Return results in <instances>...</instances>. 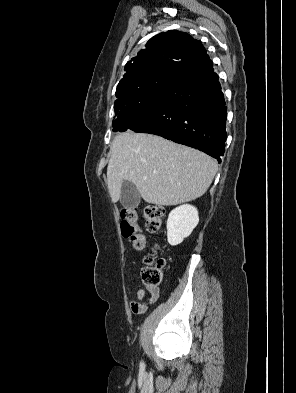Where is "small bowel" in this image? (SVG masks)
Returning <instances> with one entry per match:
<instances>
[{
    "label": "small bowel",
    "instance_id": "small-bowel-1",
    "mask_svg": "<svg viewBox=\"0 0 296 393\" xmlns=\"http://www.w3.org/2000/svg\"><path fill=\"white\" fill-rule=\"evenodd\" d=\"M137 299L130 301V308L134 314H143L147 311L148 307L157 300L159 296V290L155 293H151V297L145 300L146 292L143 288L138 289Z\"/></svg>",
    "mask_w": 296,
    "mask_h": 393
}]
</instances>
